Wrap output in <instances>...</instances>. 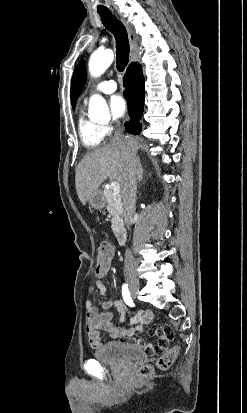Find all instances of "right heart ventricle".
Returning <instances> with one entry per match:
<instances>
[{"label":"right heart ventricle","instance_id":"1","mask_svg":"<svg viewBox=\"0 0 247 413\" xmlns=\"http://www.w3.org/2000/svg\"><path fill=\"white\" fill-rule=\"evenodd\" d=\"M79 136L87 149L95 151V145H101L104 133L93 122L82 120L79 124Z\"/></svg>","mask_w":247,"mask_h":413}]
</instances>
